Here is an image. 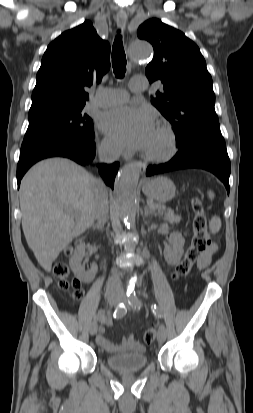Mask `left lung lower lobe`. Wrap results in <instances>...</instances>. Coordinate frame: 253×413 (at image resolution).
I'll use <instances>...</instances> for the list:
<instances>
[{
  "mask_svg": "<svg viewBox=\"0 0 253 413\" xmlns=\"http://www.w3.org/2000/svg\"><path fill=\"white\" fill-rule=\"evenodd\" d=\"M219 128V124L215 122L199 125L183 141L176 140L178 152L169 162L149 166L146 175L187 168L204 169L215 174L229 193L230 160L224 138L218 132Z\"/></svg>",
  "mask_w": 253,
  "mask_h": 413,
  "instance_id": "0a47b994",
  "label": "left lung lower lobe"
}]
</instances>
